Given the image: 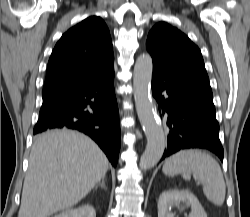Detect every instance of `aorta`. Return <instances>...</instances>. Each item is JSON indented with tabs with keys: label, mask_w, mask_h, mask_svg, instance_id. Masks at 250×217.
<instances>
[{
	"label": "aorta",
	"mask_w": 250,
	"mask_h": 217,
	"mask_svg": "<svg viewBox=\"0 0 250 217\" xmlns=\"http://www.w3.org/2000/svg\"><path fill=\"white\" fill-rule=\"evenodd\" d=\"M153 62L148 53L140 55L134 66L133 88L139 121L147 138V146L140 165L142 169L154 167L161 159L166 146L164 130L150 95Z\"/></svg>",
	"instance_id": "aorta-1"
}]
</instances>
